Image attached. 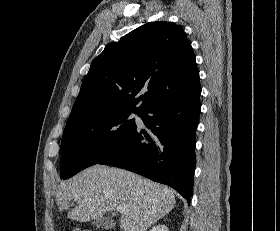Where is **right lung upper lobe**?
Wrapping results in <instances>:
<instances>
[{
  "label": "right lung upper lobe",
  "instance_id": "1",
  "mask_svg": "<svg viewBox=\"0 0 280 231\" xmlns=\"http://www.w3.org/2000/svg\"><path fill=\"white\" fill-rule=\"evenodd\" d=\"M200 88L195 55L182 26L150 22L108 44L92 61L68 120L142 114ZM140 91L144 95L135 98Z\"/></svg>",
  "mask_w": 280,
  "mask_h": 231
}]
</instances>
